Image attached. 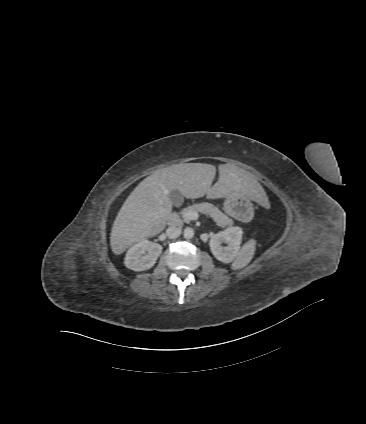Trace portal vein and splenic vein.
Masks as SVG:
<instances>
[{
    "instance_id": "obj_1",
    "label": "portal vein and splenic vein",
    "mask_w": 366,
    "mask_h": 424,
    "mask_svg": "<svg viewBox=\"0 0 366 424\" xmlns=\"http://www.w3.org/2000/svg\"><path fill=\"white\" fill-rule=\"evenodd\" d=\"M182 215L187 220H197L199 218V213L196 211H184Z\"/></svg>"
}]
</instances>
